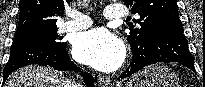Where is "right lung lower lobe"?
Listing matches in <instances>:
<instances>
[{
    "label": "right lung lower lobe",
    "mask_w": 205,
    "mask_h": 87,
    "mask_svg": "<svg viewBox=\"0 0 205 87\" xmlns=\"http://www.w3.org/2000/svg\"><path fill=\"white\" fill-rule=\"evenodd\" d=\"M66 45L67 43L60 47H53L39 42L13 43L8 63L3 71V83L13 71L30 64L49 65L59 71H79L70 60ZM83 79L87 87H94L91 74H83Z\"/></svg>",
    "instance_id": "98d812e1"
}]
</instances>
